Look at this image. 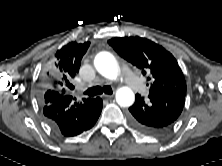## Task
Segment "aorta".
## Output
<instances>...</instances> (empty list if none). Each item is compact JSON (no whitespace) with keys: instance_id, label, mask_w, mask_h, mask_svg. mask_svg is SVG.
<instances>
[{"instance_id":"aorta-1","label":"aorta","mask_w":222,"mask_h":166,"mask_svg":"<svg viewBox=\"0 0 222 166\" xmlns=\"http://www.w3.org/2000/svg\"><path fill=\"white\" fill-rule=\"evenodd\" d=\"M97 71L105 78H117L119 68L115 57L109 52H100L94 60ZM135 95L128 87H121L116 92V101L121 107H129L134 103Z\"/></svg>"}]
</instances>
